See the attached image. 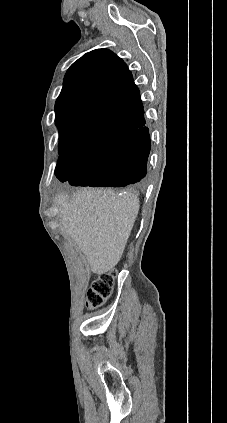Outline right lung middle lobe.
<instances>
[{
    "instance_id": "right-lung-middle-lobe-1",
    "label": "right lung middle lobe",
    "mask_w": 227,
    "mask_h": 423,
    "mask_svg": "<svg viewBox=\"0 0 227 423\" xmlns=\"http://www.w3.org/2000/svg\"><path fill=\"white\" fill-rule=\"evenodd\" d=\"M59 161L64 160L69 165V176H71L83 161L89 156L88 154L78 153L59 145Z\"/></svg>"
}]
</instances>
